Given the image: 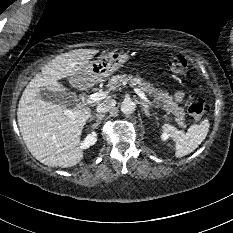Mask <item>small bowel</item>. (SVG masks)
Listing matches in <instances>:
<instances>
[{
	"mask_svg": "<svg viewBox=\"0 0 233 233\" xmlns=\"http://www.w3.org/2000/svg\"><path fill=\"white\" fill-rule=\"evenodd\" d=\"M176 102L180 103L185 98V93L183 91H177L174 95Z\"/></svg>",
	"mask_w": 233,
	"mask_h": 233,
	"instance_id": "c3829d8e",
	"label": "small bowel"
}]
</instances>
